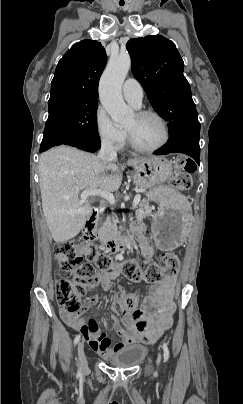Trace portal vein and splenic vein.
<instances>
[{
    "label": "portal vein and splenic vein",
    "instance_id": "18ae733b",
    "mask_svg": "<svg viewBox=\"0 0 243 404\" xmlns=\"http://www.w3.org/2000/svg\"><path fill=\"white\" fill-rule=\"evenodd\" d=\"M89 196H101V198H105V200H108L110 204H115V198L111 192H103V190H98V188H95V190H82L80 192V198L81 200H86V198H89ZM140 194L137 192L134 200H133V208H137L139 202H140Z\"/></svg>",
    "mask_w": 243,
    "mask_h": 404
}]
</instances>
